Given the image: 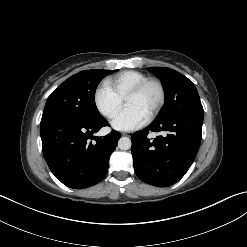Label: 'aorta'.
<instances>
[{
	"instance_id": "1",
	"label": "aorta",
	"mask_w": 247,
	"mask_h": 247,
	"mask_svg": "<svg viewBox=\"0 0 247 247\" xmlns=\"http://www.w3.org/2000/svg\"><path fill=\"white\" fill-rule=\"evenodd\" d=\"M132 142L128 137H121L118 141V147L121 150H129L131 148Z\"/></svg>"
}]
</instances>
